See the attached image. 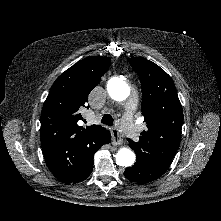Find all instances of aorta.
<instances>
[{
  "instance_id": "obj_1",
  "label": "aorta",
  "mask_w": 221,
  "mask_h": 221,
  "mask_svg": "<svg viewBox=\"0 0 221 221\" xmlns=\"http://www.w3.org/2000/svg\"><path fill=\"white\" fill-rule=\"evenodd\" d=\"M107 91L110 97L116 101H123L130 95V87L128 84L117 77H113L108 81ZM116 164L123 167L132 166L135 162V153L129 148H121L116 156Z\"/></svg>"
}]
</instances>
